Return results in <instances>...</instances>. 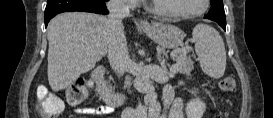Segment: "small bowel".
I'll list each match as a JSON object with an SVG mask.
<instances>
[{
	"mask_svg": "<svg viewBox=\"0 0 273 118\" xmlns=\"http://www.w3.org/2000/svg\"><path fill=\"white\" fill-rule=\"evenodd\" d=\"M149 99V116L151 118H184L183 100L175 96V90L171 84L167 83L163 87L162 107L157 101L156 96L150 95ZM110 112L111 108L109 106L76 109V113L83 116H100Z\"/></svg>",
	"mask_w": 273,
	"mask_h": 118,
	"instance_id": "c3829d8e",
	"label": "small bowel"
}]
</instances>
